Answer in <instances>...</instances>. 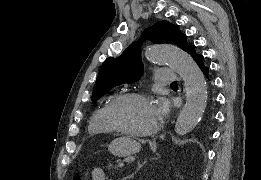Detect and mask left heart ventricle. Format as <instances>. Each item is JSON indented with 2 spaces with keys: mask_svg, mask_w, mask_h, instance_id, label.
I'll use <instances>...</instances> for the list:
<instances>
[{
  "mask_svg": "<svg viewBox=\"0 0 261 180\" xmlns=\"http://www.w3.org/2000/svg\"><path fill=\"white\" fill-rule=\"evenodd\" d=\"M160 106L154 99H127L110 112V118L123 134L141 136L155 126Z\"/></svg>",
  "mask_w": 261,
  "mask_h": 180,
  "instance_id": "b2bd125f",
  "label": "left heart ventricle"
}]
</instances>
